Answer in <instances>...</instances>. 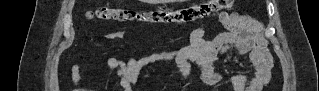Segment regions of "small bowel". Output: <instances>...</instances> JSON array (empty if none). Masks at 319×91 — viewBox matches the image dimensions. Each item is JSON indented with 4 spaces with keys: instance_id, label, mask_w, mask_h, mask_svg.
I'll list each match as a JSON object with an SVG mask.
<instances>
[{
    "instance_id": "c3829d8e",
    "label": "small bowel",
    "mask_w": 319,
    "mask_h": 91,
    "mask_svg": "<svg viewBox=\"0 0 319 91\" xmlns=\"http://www.w3.org/2000/svg\"><path fill=\"white\" fill-rule=\"evenodd\" d=\"M220 22L226 29L214 39H207L203 26L195 28L190 34L188 45L175 50L154 52L139 59L128 58L126 61L115 57L105 59V65L113 70L119 79L123 91H132L139 72L146 66L159 61L177 64L185 77L190 71V63L199 67L201 81L208 86L228 84L229 91H260L269 81V69L262 65V57L267 53L266 42L260 34L259 24L253 18L240 13H222ZM126 32H112L107 39L114 42L124 41ZM248 54L254 67L250 78L236 75L226 80L217 70L220 57L228 55L233 58ZM73 80L80 79V67L75 66Z\"/></svg>"
}]
</instances>
